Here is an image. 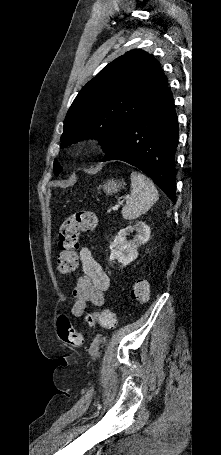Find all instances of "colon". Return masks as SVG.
<instances>
[{
  "mask_svg": "<svg viewBox=\"0 0 221 455\" xmlns=\"http://www.w3.org/2000/svg\"><path fill=\"white\" fill-rule=\"evenodd\" d=\"M97 226V217L92 211H79L64 220L59 232L60 253L57 267L61 273L73 272L78 265L79 236L82 232L93 231ZM130 297L139 304L146 303L150 298L149 284L145 280H137L130 289ZM89 325L99 323L105 328H113L116 317L112 311L88 313L85 317ZM57 333L60 339L72 346H79L83 337L76 332L68 316L61 315L57 319Z\"/></svg>",
  "mask_w": 221,
  "mask_h": 455,
  "instance_id": "5ec220e1",
  "label": "colon"
}]
</instances>
